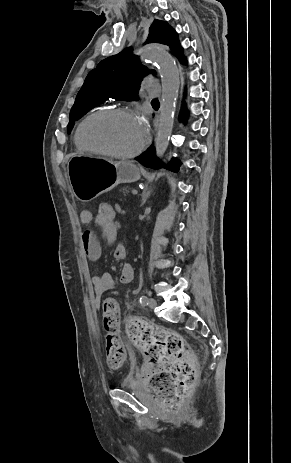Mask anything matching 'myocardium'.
Instances as JSON below:
<instances>
[{
    "label": "myocardium",
    "mask_w": 291,
    "mask_h": 463,
    "mask_svg": "<svg viewBox=\"0 0 291 463\" xmlns=\"http://www.w3.org/2000/svg\"><path fill=\"white\" fill-rule=\"evenodd\" d=\"M114 116H125V117H129V118H133L137 120L136 114L133 111L129 109H125V108H111V109L96 111L90 114L89 116H87L79 125L77 135H78V139L80 143L83 145L85 149L91 152L105 155V156L112 157V158L130 159V158H134L138 156L145 149L148 143L147 133L144 134L142 142L134 151L126 152V153L111 151L107 148L96 146L87 140L85 136V129L91 121H93L94 119H98V118H109V117H114Z\"/></svg>",
    "instance_id": "f54148a6"
}]
</instances>
